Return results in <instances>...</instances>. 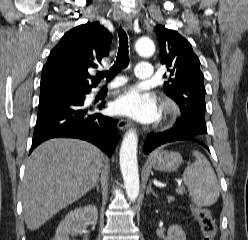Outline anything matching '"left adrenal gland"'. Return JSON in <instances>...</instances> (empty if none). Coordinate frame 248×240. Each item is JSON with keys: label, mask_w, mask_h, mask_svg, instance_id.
<instances>
[{"label": "left adrenal gland", "mask_w": 248, "mask_h": 240, "mask_svg": "<svg viewBox=\"0 0 248 240\" xmlns=\"http://www.w3.org/2000/svg\"><path fill=\"white\" fill-rule=\"evenodd\" d=\"M146 194H147V195L152 194V195H154L155 197H158V196L156 195V193L153 191V189L151 188V182L149 183V185H148V187H147V189H146Z\"/></svg>", "instance_id": "a2214340"}]
</instances>
